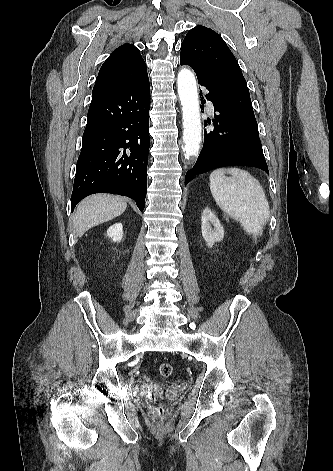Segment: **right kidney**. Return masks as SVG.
<instances>
[{
  "label": "right kidney",
  "instance_id": "right-kidney-1",
  "mask_svg": "<svg viewBox=\"0 0 333 471\" xmlns=\"http://www.w3.org/2000/svg\"><path fill=\"white\" fill-rule=\"evenodd\" d=\"M123 226L121 223H115L107 230V236L112 238L114 242H120L123 236Z\"/></svg>",
  "mask_w": 333,
  "mask_h": 471
}]
</instances>
